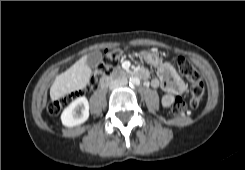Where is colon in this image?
<instances>
[{
    "mask_svg": "<svg viewBox=\"0 0 245 170\" xmlns=\"http://www.w3.org/2000/svg\"><path fill=\"white\" fill-rule=\"evenodd\" d=\"M119 59V52L117 50H111L105 53L103 62L98 67V74L92 79V85L96 86L99 84L101 76L108 75L114 66H116ZM178 68L185 77H187L191 82L190 92V106L196 108L202 98L205 85L201 74L196 70L194 65L185 57L178 58ZM81 93L71 92L62 96L59 100H56L49 104L48 113L52 116L58 115L60 111L73 102L75 99L79 98ZM186 109L185 101L181 96H177L173 102V113L175 115H181Z\"/></svg>",
    "mask_w": 245,
    "mask_h": 170,
    "instance_id": "obj_1",
    "label": "colon"
}]
</instances>
